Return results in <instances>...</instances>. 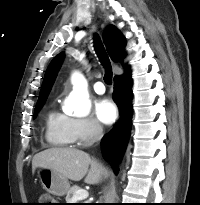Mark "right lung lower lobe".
<instances>
[{
	"label": "right lung lower lobe",
	"instance_id": "1",
	"mask_svg": "<svg viewBox=\"0 0 200 205\" xmlns=\"http://www.w3.org/2000/svg\"><path fill=\"white\" fill-rule=\"evenodd\" d=\"M132 80L129 70L126 69L125 75L114 77L113 100L119 107L121 118L114 128L104 137L102 148L106 157H115L113 164L114 173L118 172V161L126 149L132 119Z\"/></svg>",
	"mask_w": 200,
	"mask_h": 205
}]
</instances>
